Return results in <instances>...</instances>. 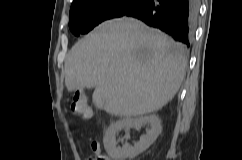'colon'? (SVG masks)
Returning <instances> with one entry per match:
<instances>
[{
  "mask_svg": "<svg viewBox=\"0 0 242 160\" xmlns=\"http://www.w3.org/2000/svg\"><path fill=\"white\" fill-rule=\"evenodd\" d=\"M69 111L76 115L80 116L84 119L91 118L92 112L91 108L88 104V101L84 94L80 92H76L71 99L69 100L68 104ZM89 160H105L104 155L97 154L96 159H89Z\"/></svg>",
  "mask_w": 242,
  "mask_h": 160,
  "instance_id": "colon-1",
  "label": "colon"
}]
</instances>
